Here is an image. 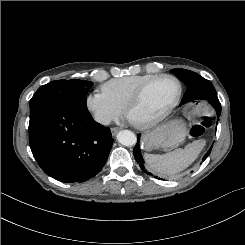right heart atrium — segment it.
<instances>
[{"instance_id":"d8ad5b80","label":"right heart atrium","mask_w":245,"mask_h":245,"mask_svg":"<svg viewBox=\"0 0 245 245\" xmlns=\"http://www.w3.org/2000/svg\"><path fill=\"white\" fill-rule=\"evenodd\" d=\"M85 107L93 119L104 126L118 120L124 111L100 91L91 92L86 96Z\"/></svg>"}]
</instances>
